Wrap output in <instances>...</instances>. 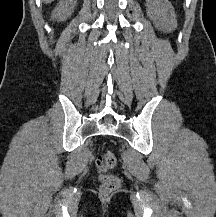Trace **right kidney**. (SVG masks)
<instances>
[{"mask_svg":"<svg viewBox=\"0 0 216 217\" xmlns=\"http://www.w3.org/2000/svg\"><path fill=\"white\" fill-rule=\"evenodd\" d=\"M76 5V0H60L56 8L52 12V19L59 21L66 20L71 16L74 7Z\"/></svg>","mask_w":216,"mask_h":217,"instance_id":"right-kidney-1","label":"right kidney"}]
</instances>
